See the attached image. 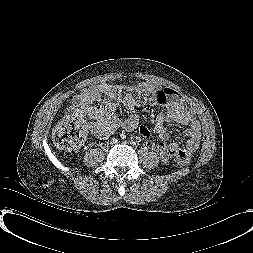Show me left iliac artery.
<instances>
[{"instance_id":"obj_1","label":"left iliac artery","mask_w":253,"mask_h":253,"mask_svg":"<svg viewBox=\"0 0 253 253\" xmlns=\"http://www.w3.org/2000/svg\"><path fill=\"white\" fill-rule=\"evenodd\" d=\"M131 144L135 145V144H136V142H135V141H132V142H131Z\"/></svg>"}]
</instances>
